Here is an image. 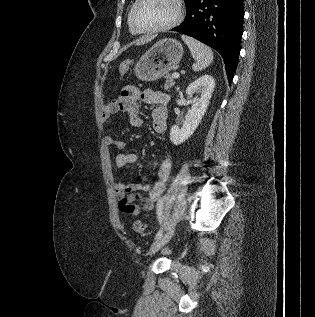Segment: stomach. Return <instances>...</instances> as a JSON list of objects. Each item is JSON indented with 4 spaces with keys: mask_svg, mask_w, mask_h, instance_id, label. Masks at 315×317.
Instances as JSON below:
<instances>
[{
    "mask_svg": "<svg viewBox=\"0 0 315 317\" xmlns=\"http://www.w3.org/2000/svg\"><path fill=\"white\" fill-rule=\"evenodd\" d=\"M183 56V46L176 39L159 40L137 61L134 72L142 81H155L176 67Z\"/></svg>",
    "mask_w": 315,
    "mask_h": 317,
    "instance_id": "obj_1",
    "label": "stomach"
}]
</instances>
